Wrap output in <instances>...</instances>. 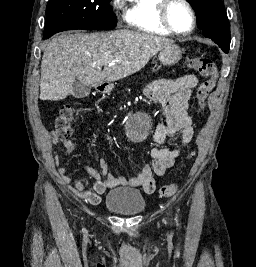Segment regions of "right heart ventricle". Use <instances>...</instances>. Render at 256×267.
Masks as SVG:
<instances>
[{
	"label": "right heart ventricle",
	"mask_w": 256,
	"mask_h": 267,
	"mask_svg": "<svg viewBox=\"0 0 256 267\" xmlns=\"http://www.w3.org/2000/svg\"><path fill=\"white\" fill-rule=\"evenodd\" d=\"M162 0H137L131 15L135 28H142L143 36H173L158 20Z\"/></svg>",
	"instance_id": "1"
}]
</instances>
